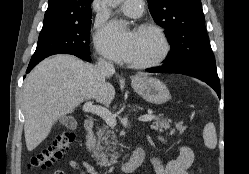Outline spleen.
<instances>
[{
	"label": "spleen",
	"instance_id": "1",
	"mask_svg": "<svg viewBox=\"0 0 249 174\" xmlns=\"http://www.w3.org/2000/svg\"><path fill=\"white\" fill-rule=\"evenodd\" d=\"M203 139L206 147L215 149L217 145V135L213 123H207L203 130Z\"/></svg>",
	"mask_w": 249,
	"mask_h": 174
}]
</instances>
